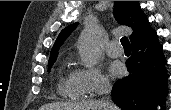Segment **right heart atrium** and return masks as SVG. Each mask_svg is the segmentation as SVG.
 I'll return each mask as SVG.
<instances>
[{"label":"right heart atrium","mask_w":171,"mask_h":110,"mask_svg":"<svg viewBox=\"0 0 171 110\" xmlns=\"http://www.w3.org/2000/svg\"><path fill=\"white\" fill-rule=\"evenodd\" d=\"M74 75L83 90L84 97L96 96L109 87L107 78L98 68L77 69Z\"/></svg>","instance_id":"right-heart-atrium-1"}]
</instances>
